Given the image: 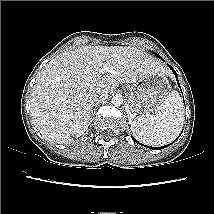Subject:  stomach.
I'll list each match as a JSON object with an SVG mask.
<instances>
[{"label":"stomach","instance_id":"0dacf381","mask_svg":"<svg viewBox=\"0 0 214 214\" xmlns=\"http://www.w3.org/2000/svg\"><path fill=\"white\" fill-rule=\"evenodd\" d=\"M166 72L146 75L128 87V113L130 116L156 111L170 93Z\"/></svg>","mask_w":214,"mask_h":214}]
</instances>
